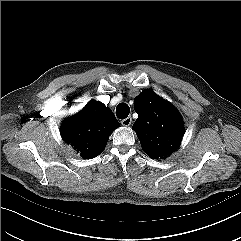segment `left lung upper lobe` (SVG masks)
<instances>
[{"label": "left lung upper lobe", "mask_w": 241, "mask_h": 241, "mask_svg": "<svg viewBox=\"0 0 241 241\" xmlns=\"http://www.w3.org/2000/svg\"><path fill=\"white\" fill-rule=\"evenodd\" d=\"M134 109L138 118L133 129L150 157L165 158L179 147L184 134L182 118L169 101L146 90L135 98Z\"/></svg>", "instance_id": "5c2ea615"}]
</instances>
